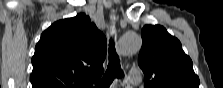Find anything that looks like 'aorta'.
I'll return each mask as SVG.
<instances>
[{
	"label": "aorta",
	"mask_w": 223,
	"mask_h": 88,
	"mask_svg": "<svg viewBox=\"0 0 223 88\" xmlns=\"http://www.w3.org/2000/svg\"><path fill=\"white\" fill-rule=\"evenodd\" d=\"M141 43V39L137 34L127 33L120 39L118 52L123 56L132 54L140 49Z\"/></svg>",
	"instance_id": "obj_1"
}]
</instances>
